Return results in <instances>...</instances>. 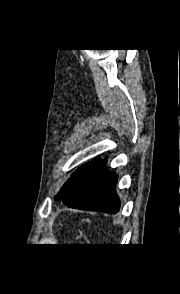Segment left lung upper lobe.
<instances>
[{"mask_svg":"<svg viewBox=\"0 0 180 294\" xmlns=\"http://www.w3.org/2000/svg\"><path fill=\"white\" fill-rule=\"evenodd\" d=\"M87 165H88V163L84 164L83 166H81L80 168H78L71 175L70 179H68L67 182L63 185V187L61 188V190L59 191V193L57 194V196L54 197L55 200H57V199L62 200L67 195V193L71 189V186H72L73 182L82 173V171L86 168Z\"/></svg>","mask_w":180,"mask_h":294,"instance_id":"1","label":"left lung upper lobe"}]
</instances>
